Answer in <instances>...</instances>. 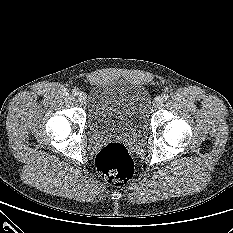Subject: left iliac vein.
I'll return each mask as SVG.
<instances>
[{"label": "left iliac vein", "instance_id": "1", "mask_svg": "<svg viewBox=\"0 0 233 233\" xmlns=\"http://www.w3.org/2000/svg\"><path fill=\"white\" fill-rule=\"evenodd\" d=\"M163 101L164 100H163V98L161 96L156 97L155 100H154V103H153L154 107L155 108L161 107L162 104H163Z\"/></svg>", "mask_w": 233, "mask_h": 233}]
</instances>
